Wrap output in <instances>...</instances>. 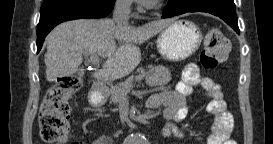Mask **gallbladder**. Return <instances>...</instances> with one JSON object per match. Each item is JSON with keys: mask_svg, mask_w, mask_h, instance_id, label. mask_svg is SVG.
Instances as JSON below:
<instances>
[{"mask_svg": "<svg viewBox=\"0 0 273 144\" xmlns=\"http://www.w3.org/2000/svg\"><path fill=\"white\" fill-rule=\"evenodd\" d=\"M76 76H84V71L81 69V68H79L77 71H76Z\"/></svg>", "mask_w": 273, "mask_h": 144, "instance_id": "gallbladder-1", "label": "gallbladder"}]
</instances>
